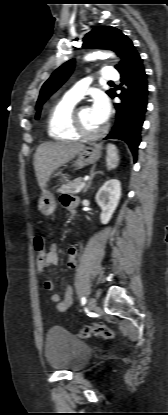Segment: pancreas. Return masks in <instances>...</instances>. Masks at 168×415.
<instances>
[{
	"label": "pancreas",
	"instance_id": "1",
	"mask_svg": "<svg viewBox=\"0 0 168 415\" xmlns=\"http://www.w3.org/2000/svg\"><path fill=\"white\" fill-rule=\"evenodd\" d=\"M81 183H82V178H77L73 181L66 182L61 185V187L58 189V192L74 194L76 193V190Z\"/></svg>",
	"mask_w": 168,
	"mask_h": 415
}]
</instances>
